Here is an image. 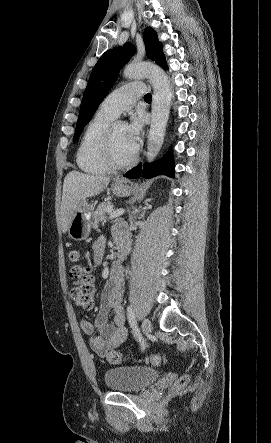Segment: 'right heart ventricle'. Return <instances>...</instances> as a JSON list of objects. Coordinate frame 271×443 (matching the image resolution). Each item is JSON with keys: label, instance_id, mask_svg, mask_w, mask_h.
Wrapping results in <instances>:
<instances>
[{"label": "right heart ventricle", "instance_id": "obj_1", "mask_svg": "<svg viewBox=\"0 0 271 443\" xmlns=\"http://www.w3.org/2000/svg\"><path fill=\"white\" fill-rule=\"evenodd\" d=\"M113 119L98 111L87 123L76 151V164L83 172L100 175L110 170L103 154V141Z\"/></svg>", "mask_w": 271, "mask_h": 443}]
</instances>
